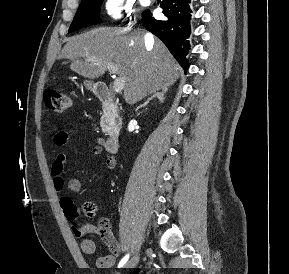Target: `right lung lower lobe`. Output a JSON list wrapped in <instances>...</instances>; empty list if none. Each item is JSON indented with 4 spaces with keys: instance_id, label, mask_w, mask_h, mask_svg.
Masks as SVG:
<instances>
[{
    "instance_id": "98d812e1",
    "label": "right lung lower lobe",
    "mask_w": 289,
    "mask_h": 274,
    "mask_svg": "<svg viewBox=\"0 0 289 274\" xmlns=\"http://www.w3.org/2000/svg\"><path fill=\"white\" fill-rule=\"evenodd\" d=\"M166 16L163 20H156L149 10L142 14L145 28L156 35L167 46L169 51L185 71L189 63L185 57L190 48V19L191 0H157Z\"/></svg>"
}]
</instances>
